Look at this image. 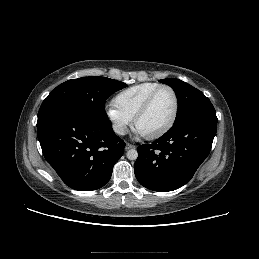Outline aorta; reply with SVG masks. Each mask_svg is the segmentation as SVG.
<instances>
[{
	"label": "aorta",
	"mask_w": 259,
	"mask_h": 259,
	"mask_svg": "<svg viewBox=\"0 0 259 259\" xmlns=\"http://www.w3.org/2000/svg\"><path fill=\"white\" fill-rule=\"evenodd\" d=\"M126 155L129 160H136L138 157V153L135 149L128 150Z\"/></svg>",
	"instance_id": "1"
}]
</instances>
